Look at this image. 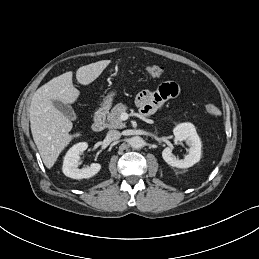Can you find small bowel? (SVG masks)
Segmentation results:
<instances>
[{"label": "small bowel", "mask_w": 259, "mask_h": 259, "mask_svg": "<svg viewBox=\"0 0 259 259\" xmlns=\"http://www.w3.org/2000/svg\"><path fill=\"white\" fill-rule=\"evenodd\" d=\"M178 94V85L172 81H165L154 90L141 91L136 97V103L142 114L149 116L160 110L169 99Z\"/></svg>", "instance_id": "small-bowel-1"}]
</instances>
